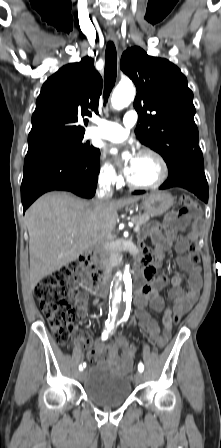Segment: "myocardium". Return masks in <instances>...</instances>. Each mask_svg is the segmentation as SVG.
Returning a JSON list of instances; mask_svg holds the SVG:
<instances>
[{
	"label": "myocardium",
	"mask_w": 221,
	"mask_h": 448,
	"mask_svg": "<svg viewBox=\"0 0 221 448\" xmlns=\"http://www.w3.org/2000/svg\"><path fill=\"white\" fill-rule=\"evenodd\" d=\"M144 155H148L153 157L161 170V175L160 177L152 182V183H138L134 180H132L130 177L128 178V183L130 186L134 187V188H138V189H153V188H157L159 186H161L169 177L170 174V167L169 164L167 162V160L165 159V157L158 151L151 149V148H144L142 149L138 156H144Z\"/></svg>",
	"instance_id": "obj_1"
}]
</instances>
